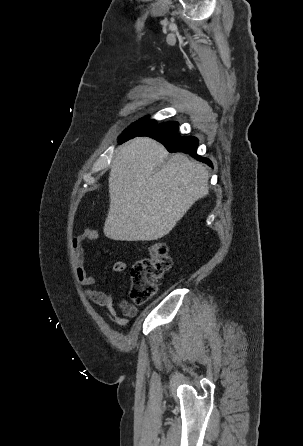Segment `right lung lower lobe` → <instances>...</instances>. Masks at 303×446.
<instances>
[{"label": "right lung lower lobe", "mask_w": 303, "mask_h": 446, "mask_svg": "<svg viewBox=\"0 0 303 446\" xmlns=\"http://www.w3.org/2000/svg\"><path fill=\"white\" fill-rule=\"evenodd\" d=\"M138 136H148L152 137L159 142H161L169 152H184L191 156H194L199 161H202L209 166L212 163L209 159L197 155L196 150L198 146L197 138L193 136L182 137L178 133V123L177 122H164L160 124H155L150 127L145 132L139 134Z\"/></svg>", "instance_id": "obj_1"}]
</instances>
